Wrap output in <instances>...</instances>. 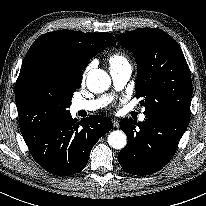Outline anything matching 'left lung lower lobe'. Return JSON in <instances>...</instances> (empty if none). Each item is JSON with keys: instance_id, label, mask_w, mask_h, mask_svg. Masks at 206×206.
<instances>
[{"instance_id": "0a47b994", "label": "left lung lower lobe", "mask_w": 206, "mask_h": 206, "mask_svg": "<svg viewBox=\"0 0 206 206\" xmlns=\"http://www.w3.org/2000/svg\"><path fill=\"white\" fill-rule=\"evenodd\" d=\"M143 122L124 118L120 128L128 143L118 154L121 167L133 175H149L162 169L173 157L189 119L151 113Z\"/></svg>"}]
</instances>
